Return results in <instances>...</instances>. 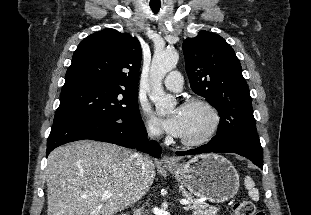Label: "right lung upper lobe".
Listing matches in <instances>:
<instances>
[{
  "mask_svg": "<svg viewBox=\"0 0 311 215\" xmlns=\"http://www.w3.org/2000/svg\"><path fill=\"white\" fill-rule=\"evenodd\" d=\"M141 58L140 43L130 34L95 32L78 45L64 86L87 83L137 90Z\"/></svg>",
  "mask_w": 311,
  "mask_h": 215,
  "instance_id": "1",
  "label": "right lung upper lobe"
}]
</instances>
